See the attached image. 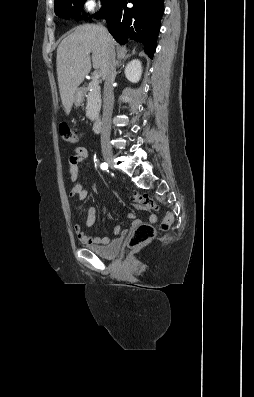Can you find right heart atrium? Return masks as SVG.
Wrapping results in <instances>:
<instances>
[{
    "mask_svg": "<svg viewBox=\"0 0 254 397\" xmlns=\"http://www.w3.org/2000/svg\"><path fill=\"white\" fill-rule=\"evenodd\" d=\"M99 1L98 0H84L82 3V8L84 11L93 13L99 9Z\"/></svg>",
    "mask_w": 254,
    "mask_h": 397,
    "instance_id": "right-heart-atrium-1",
    "label": "right heart atrium"
}]
</instances>
